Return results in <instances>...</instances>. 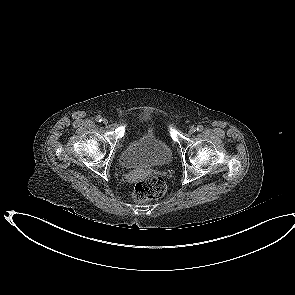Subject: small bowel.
<instances>
[{
    "instance_id": "obj_1",
    "label": "small bowel",
    "mask_w": 295,
    "mask_h": 295,
    "mask_svg": "<svg viewBox=\"0 0 295 295\" xmlns=\"http://www.w3.org/2000/svg\"><path fill=\"white\" fill-rule=\"evenodd\" d=\"M153 177V172L151 170H138L127 172L124 175V180L126 182L137 181L138 179H151Z\"/></svg>"
}]
</instances>
